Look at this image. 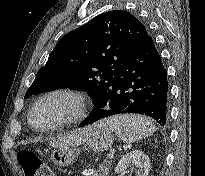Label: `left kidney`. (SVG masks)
Instances as JSON below:
<instances>
[{
    "mask_svg": "<svg viewBox=\"0 0 205 176\" xmlns=\"http://www.w3.org/2000/svg\"><path fill=\"white\" fill-rule=\"evenodd\" d=\"M137 167L136 176H148L150 171L149 157L140 150H134L123 156L115 168L118 176H123L126 169L130 166Z\"/></svg>",
    "mask_w": 205,
    "mask_h": 176,
    "instance_id": "obj_1",
    "label": "left kidney"
}]
</instances>
